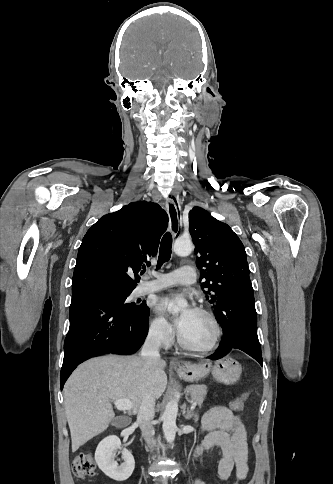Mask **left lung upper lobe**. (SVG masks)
<instances>
[{
  "label": "left lung upper lobe",
  "mask_w": 333,
  "mask_h": 484,
  "mask_svg": "<svg viewBox=\"0 0 333 484\" xmlns=\"http://www.w3.org/2000/svg\"><path fill=\"white\" fill-rule=\"evenodd\" d=\"M189 225L199 254L197 266L201 272V288L207 300L215 306L227 284L249 276L245 248L230 226L201 207H194L189 212Z\"/></svg>",
  "instance_id": "left-lung-upper-lobe-1"
}]
</instances>
